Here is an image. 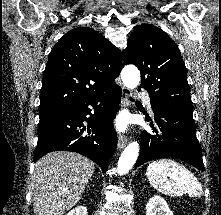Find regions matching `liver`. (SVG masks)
<instances>
[{
  "label": "liver",
  "mask_w": 221,
  "mask_h": 215,
  "mask_svg": "<svg viewBox=\"0 0 221 215\" xmlns=\"http://www.w3.org/2000/svg\"><path fill=\"white\" fill-rule=\"evenodd\" d=\"M94 169L91 160L74 152H51L40 158L31 181L34 214L63 215L72 209Z\"/></svg>",
  "instance_id": "6515ba94"
}]
</instances>
